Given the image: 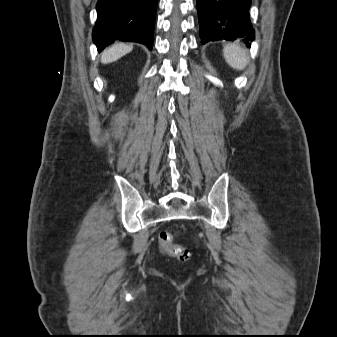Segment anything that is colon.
Segmentation results:
<instances>
[{"instance_id": "5ec220e1", "label": "colon", "mask_w": 337, "mask_h": 337, "mask_svg": "<svg viewBox=\"0 0 337 337\" xmlns=\"http://www.w3.org/2000/svg\"><path fill=\"white\" fill-rule=\"evenodd\" d=\"M159 246L163 252L175 255L180 259H186L189 256V250L181 245L175 244L173 235L168 231H162L159 234Z\"/></svg>"}]
</instances>
